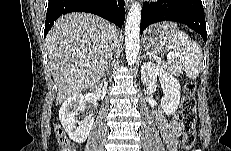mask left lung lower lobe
I'll list each match as a JSON object with an SVG mask.
<instances>
[{
	"label": "left lung lower lobe",
	"mask_w": 231,
	"mask_h": 151,
	"mask_svg": "<svg viewBox=\"0 0 231 151\" xmlns=\"http://www.w3.org/2000/svg\"><path fill=\"white\" fill-rule=\"evenodd\" d=\"M161 21L183 23L198 32L206 43L207 31L201 0H176L173 3L158 0L145 3L142 7L140 33L150 24Z\"/></svg>",
	"instance_id": "left-lung-lower-lobe-1"
}]
</instances>
